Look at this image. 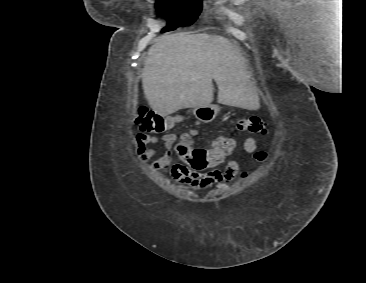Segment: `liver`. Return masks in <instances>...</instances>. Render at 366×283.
<instances>
[{
    "label": "liver",
    "mask_w": 366,
    "mask_h": 283,
    "mask_svg": "<svg viewBox=\"0 0 366 283\" xmlns=\"http://www.w3.org/2000/svg\"><path fill=\"white\" fill-rule=\"evenodd\" d=\"M246 59L227 38L182 33L156 39L149 48L142 84L150 107L162 116L213 101L212 79L221 104L247 110L260 108L249 80Z\"/></svg>",
    "instance_id": "1"
}]
</instances>
